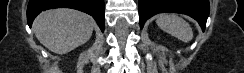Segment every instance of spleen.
<instances>
[{"instance_id":"1","label":"spleen","mask_w":244,"mask_h":73,"mask_svg":"<svg viewBox=\"0 0 244 73\" xmlns=\"http://www.w3.org/2000/svg\"><path fill=\"white\" fill-rule=\"evenodd\" d=\"M156 24L160 29L183 42H189L193 38L189 23L176 14H160L156 19Z\"/></svg>"}]
</instances>
